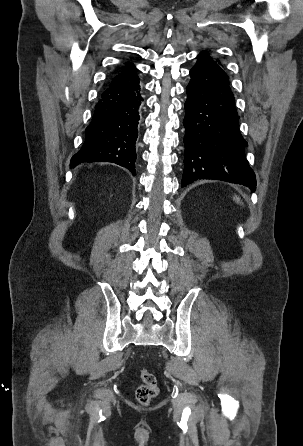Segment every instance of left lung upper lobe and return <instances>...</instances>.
I'll return each mask as SVG.
<instances>
[{"instance_id": "1", "label": "left lung upper lobe", "mask_w": 303, "mask_h": 446, "mask_svg": "<svg viewBox=\"0 0 303 446\" xmlns=\"http://www.w3.org/2000/svg\"><path fill=\"white\" fill-rule=\"evenodd\" d=\"M202 53H205V54H208L209 55V53L208 52H206V51H204V52H202ZM219 65H221V63L218 61V60H215Z\"/></svg>"}]
</instances>
